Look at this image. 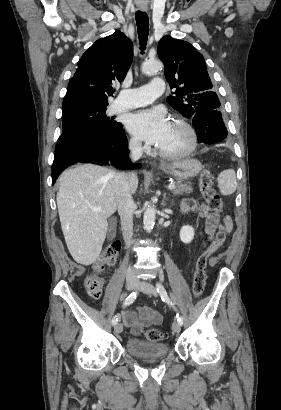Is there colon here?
I'll list each match as a JSON object with an SVG mask.
<instances>
[{"instance_id": "5ec220e1", "label": "colon", "mask_w": 281, "mask_h": 410, "mask_svg": "<svg viewBox=\"0 0 281 410\" xmlns=\"http://www.w3.org/2000/svg\"><path fill=\"white\" fill-rule=\"evenodd\" d=\"M201 192L205 198V206L203 210H208L217 214H222V201L219 194L213 187V177L209 169H205L200 176ZM231 220L229 216H223V224L212 241L210 246L198 256L196 260V266L193 277L192 292L195 298L201 297L205 289L206 281V268L208 264V258L214 252H216L227 239V226ZM121 245L120 243H112L107 245L97 263L94 265V272L88 274L85 277V288L88 295L93 299H98L102 295L103 280L99 276V272L102 271L104 265L112 266L116 263L117 256L119 254ZM145 336L149 341L159 342L167 337L164 331L159 329L150 328L145 331Z\"/></svg>"}]
</instances>
